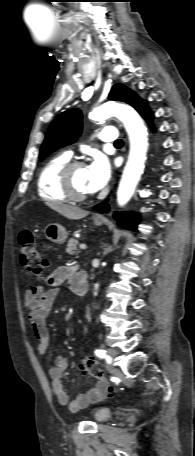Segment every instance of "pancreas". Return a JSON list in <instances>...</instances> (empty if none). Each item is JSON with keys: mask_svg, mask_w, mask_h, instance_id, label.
Segmentation results:
<instances>
[{"mask_svg": "<svg viewBox=\"0 0 195 456\" xmlns=\"http://www.w3.org/2000/svg\"><path fill=\"white\" fill-rule=\"evenodd\" d=\"M77 245H78V240L75 238H71L68 241L66 252L69 254H75L77 253Z\"/></svg>", "mask_w": 195, "mask_h": 456, "instance_id": "cf45deb5", "label": "pancreas"}]
</instances>
